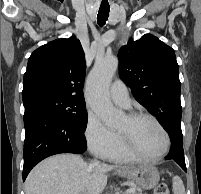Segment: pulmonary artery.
<instances>
[{
  "mask_svg": "<svg viewBox=\"0 0 201 194\" xmlns=\"http://www.w3.org/2000/svg\"><path fill=\"white\" fill-rule=\"evenodd\" d=\"M109 93L114 103L125 108L130 106L129 92L122 80H115L110 86Z\"/></svg>",
  "mask_w": 201,
  "mask_h": 194,
  "instance_id": "e3ab8cb5",
  "label": "pulmonary artery"
}]
</instances>
